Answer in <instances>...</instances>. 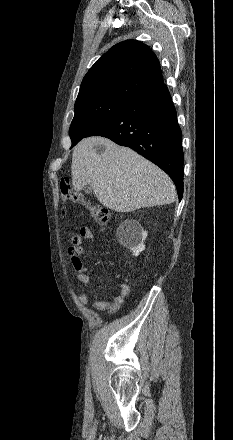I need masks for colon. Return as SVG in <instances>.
Wrapping results in <instances>:
<instances>
[{
    "mask_svg": "<svg viewBox=\"0 0 233 440\" xmlns=\"http://www.w3.org/2000/svg\"><path fill=\"white\" fill-rule=\"evenodd\" d=\"M59 187L61 196L64 199L71 200L87 209L96 223L101 226H106L110 223L111 218L108 210L102 206L85 200L79 194L72 191L70 187V179L68 177H63L60 179Z\"/></svg>",
    "mask_w": 233,
    "mask_h": 440,
    "instance_id": "1",
    "label": "colon"
}]
</instances>
